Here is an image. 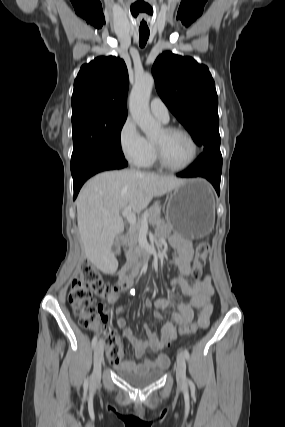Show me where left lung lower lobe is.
<instances>
[{
  "label": "left lung lower lobe",
  "mask_w": 285,
  "mask_h": 427,
  "mask_svg": "<svg viewBox=\"0 0 285 427\" xmlns=\"http://www.w3.org/2000/svg\"><path fill=\"white\" fill-rule=\"evenodd\" d=\"M222 156L220 152H203L185 171L177 173L178 177H204L220 192Z\"/></svg>",
  "instance_id": "0a47b994"
}]
</instances>
